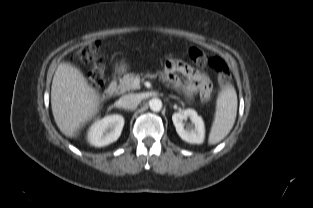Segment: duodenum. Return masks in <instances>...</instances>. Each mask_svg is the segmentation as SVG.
<instances>
[{"instance_id": "obj_1", "label": "duodenum", "mask_w": 313, "mask_h": 208, "mask_svg": "<svg viewBox=\"0 0 313 208\" xmlns=\"http://www.w3.org/2000/svg\"><path fill=\"white\" fill-rule=\"evenodd\" d=\"M116 87H117L116 83H115V82H111V83L105 88V90H104V96H105L106 98H110V97L114 94V92H115V90H116Z\"/></svg>"}]
</instances>
